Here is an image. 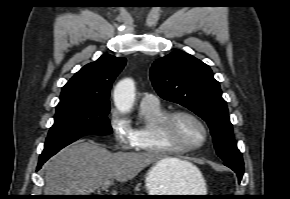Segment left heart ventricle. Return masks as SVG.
<instances>
[{
	"mask_svg": "<svg viewBox=\"0 0 290 199\" xmlns=\"http://www.w3.org/2000/svg\"><path fill=\"white\" fill-rule=\"evenodd\" d=\"M170 137L184 145L193 146L202 141L203 130L194 120L188 117H179L172 124Z\"/></svg>",
	"mask_w": 290,
	"mask_h": 199,
	"instance_id": "b2bd125f",
	"label": "left heart ventricle"
}]
</instances>
